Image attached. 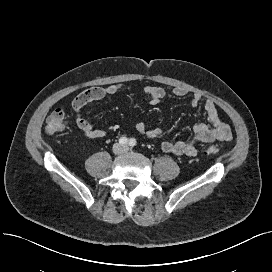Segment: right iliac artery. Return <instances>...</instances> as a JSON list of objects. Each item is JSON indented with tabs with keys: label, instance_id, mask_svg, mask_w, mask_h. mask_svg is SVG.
<instances>
[{
	"label": "right iliac artery",
	"instance_id": "1",
	"mask_svg": "<svg viewBox=\"0 0 272 272\" xmlns=\"http://www.w3.org/2000/svg\"><path fill=\"white\" fill-rule=\"evenodd\" d=\"M119 143L122 144V145H125L128 143V139L126 137H121L119 139Z\"/></svg>",
	"mask_w": 272,
	"mask_h": 272
}]
</instances>
